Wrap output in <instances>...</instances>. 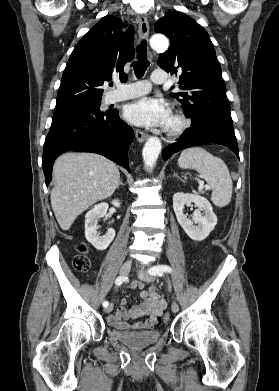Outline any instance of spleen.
Returning a JSON list of instances; mask_svg holds the SVG:
<instances>
[{"label": "spleen", "instance_id": "1", "mask_svg": "<svg viewBox=\"0 0 279 391\" xmlns=\"http://www.w3.org/2000/svg\"><path fill=\"white\" fill-rule=\"evenodd\" d=\"M179 167L195 169L212 189L211 201L218 207H225L231 201L233 183L224 161L201 147H191L182 151L178 159Z\"/></svg>", "mask_w": 279, "mask_h": 391}]
</instances>
